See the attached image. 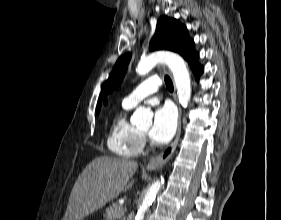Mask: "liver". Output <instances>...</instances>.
Returning a JSON list of instances; mask_svg holds the SVG:
<instances>
[{
    "instance_id": "liver-1",
    "label": "liver",
    "mask_w": 281,
    "mask_h": 220,
    "mask_svg": "<svg viewBox=\"0 0 281 220\" xmlns=\"http://www.w3.org/2000/svg\"><path fill=\"white\" fill-rule=\"evenodd\" d=\"M137 168L138 163L130 159L101 156L92 160L76 180L62 220H82L126 192L134 184Z\"/></svg>"
}]
</instances>
